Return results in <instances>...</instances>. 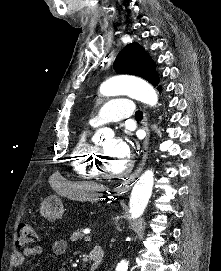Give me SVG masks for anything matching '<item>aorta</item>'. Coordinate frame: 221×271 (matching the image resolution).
Returning <instances> with one entry per match:
<instances>
[{
    "label": "aorta",
    "mask_w": 221,
    "mask_h": 271,
    "mask_svg": "<svg viewBox=\"0 0 221 271\" xmlns=\"http://www.w3.org/2000/svg\"><path fill=\"white\" fill-rule=\"evenodd\" d=\"M100 93L103 96L129 95L147 105L155 106L158 103V96L155 89L142 80L125 76H117L103 82L100 86ZM102 132H107L103 129ZM154 185V173L152 170L145 171L133 186L130 196V215L132 219L140 217L151 197ZM128 262L122 260L118 263L115 271H127Z\"/></svg>",
    "instance_id": "aorta-1"
}]
</instances>
